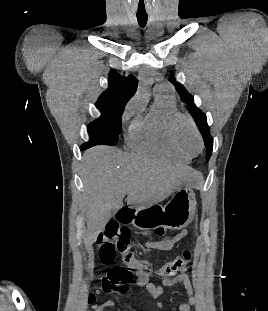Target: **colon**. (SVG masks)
<instances>
[{
    "mask_svg": "<svg viewBox=\"0 0 268 311\" xmlns=\"http://www.w3.org/2000/svg\"><path fill=\"white\" fill-rule=\"evenodd\" d=\"M99 247V258L104 264H112L117 259L119 266L111 268L102 278V289L105 292L127 290V284L133 280L134 272L129 269L131 265L137 263L146 273L152 272L151 267L145 261H138L135 253L131 250L132 235L128 228L120 227L117 223L110 222L97 238ZM191 261L190 251H184L174 259H170L155 273L164 278H171L176 274L187 270ZM89 301L92 303L94 297Z\"/></svg>",
    "mask_w": 268,
    "mask_h": 311,
    "instance_id": "5ec220e1",
    "label": "colon"
}]
</instances>
